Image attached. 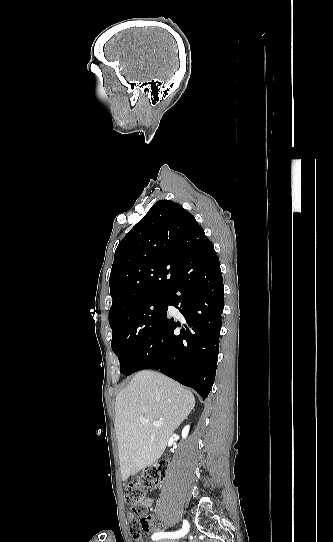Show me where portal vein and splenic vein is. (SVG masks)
I'll use <instances>...</instances> for the list:
<instances>
[{
    "label": "portal vein and splenic vein",
    "mask_w": 333,
    "mask_h": 542,
    "mask_svg": "<svg viewBox=\"0 0 333 542\" xmlns=\"http://www.w3.org/2000/svg\"><path fill=\"white\" fill-rule=\"evenodd\" d=\"M140 422H143V424H147L148 420L147 418H139ZM163 422H158V420H153V426H162Z\"/></svg>",
    "instance_id": "obj_1"
}]
</instances>
